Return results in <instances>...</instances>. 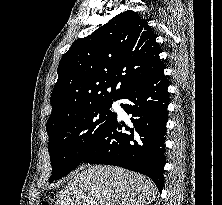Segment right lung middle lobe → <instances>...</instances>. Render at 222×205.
<instances>
[{"label": "right lung middle lobe", "instance_id": "1", "mask_svg": "<svg viewBox=\"0 0 222 205\" xmlns=\"http://www.w3.org/2000/svg\"><path fill=\"white\" fill-rule=\"evenodd\" d=\"M112 101L99 102L47 125L51 183L70 173L86 156L96 137L113 121Z\"/></svg>", "mask_w": 222, "mask_h": 205}]
</instances>
